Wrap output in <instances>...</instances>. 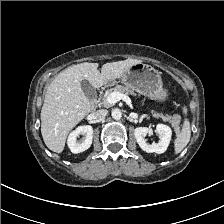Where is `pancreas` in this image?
Listing matches in <instances>:
<instances>
[{
  "mask_svg": "<svg viewBox=\"0 0 224 224\" xmlns=\"http://www.w3.org/2000/svg\"><path fill=\"white\" fill-rule=\"evenodd\" d=\"M112 92H120L122 94H126V95H133V96H137V94L129 87H125L122 85H116L115 87L106 90L103 97H102V104L104 107H110L111 104H109L107 102V97L112 93ZM151 113L154 117L158 118H162L163 121H167L169 122L172 127L175 129V131L179 130V118L177 115L171 116V115H163L162 113H157L154 110H151Z\"/></svg>",
  "mask_w": 224,
  "mask_h": 224,
  "instance_id": "cf45deb5",
  "label": "pancreas"
}]
</instances>
